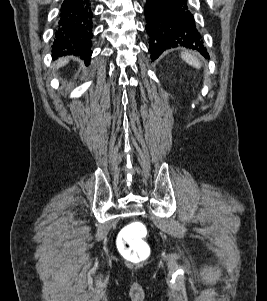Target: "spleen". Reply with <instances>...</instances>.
Segmentation results:
<instances>
[{"instance_id":"spleen-1","label":"spleen","mask_w":267,"mask_h":301,"mask_svg":"<svg viewBox=\"0 0 267 301\" xmlns=\"http://www.w3.org/2000/svg\"><path fill=\"white\" fill-rule=\"evenodd\" d=\"M181 58L188 63L189 65L195 67L196 69L201 68V63L200 61L192 54L183 52L181 53Z\"/></svg>"}]
</instances>
